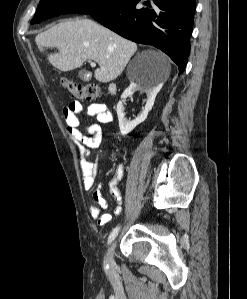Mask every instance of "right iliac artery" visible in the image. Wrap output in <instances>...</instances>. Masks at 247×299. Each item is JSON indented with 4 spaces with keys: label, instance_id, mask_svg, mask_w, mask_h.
I'll list each match as a JSON object with an SVG mask.
<instances>
[{
    "label": "right iliac artery",
    "instance_id": "obj_1",
    "mask_svg": "<svg viewBox=\"0 0 247 299\" xmlns=\"http://www.w3.org/2000/svg\"><path fill=\"white\" fill-rule=\"evenodd\" d=\"M119 230H120V226H117L116 228H114L112 230V232H111V234L109 235V238H108V244H110L115 239V237L117 236ZM105 269H108V264H105Z\"/></svg>",
    "mask_w": 247,
    "mask_h": 299
}]
</instances>
